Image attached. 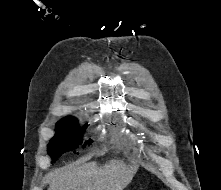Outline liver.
<instances>
[{
  "label": "liver",
  "mask_w": 221,
  "mask_h": 190,
  "mask_svg": "<svg viewBox=\"0 0 221 190\" xmlns=\"http://www.w3.org/2000/svg\"><path fill=\"white\" fill-rule=\"evenodd\" d=\"M138 170L137 164L111 160L104 165L89 162L48 174V190H123Z\"/></svg>",
  "instance_id": "liver-1"
}]
</instances>
